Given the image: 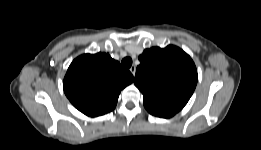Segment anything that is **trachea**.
I'll list each match as a JSON object with an SVG mask.
<instances>
[{"mask_svg": "<svg viewBox=\"0 0 261 150\" xmlns=\"http://www.w3.org/2000/svg\"><path fill=\"white\" fill-rule=\"evenodd\" d=\"M122 65H123L125 68H130L131 65H132V58H131V57H125V58L122 60Z\"/></svg>", "mask_w": 261, "mask_h": 150, "instance_id": "trachea-1", "label": "trachea"}]
</instances>
